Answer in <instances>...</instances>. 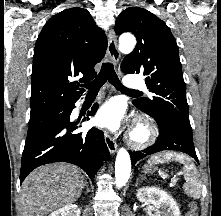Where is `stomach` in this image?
I'll return each instance as SVG.
<instances>
[{
    "label": "stomach",
    "mask_w": 221,
    "mask_h": 216,
    "mask_svg": "<svg viewBox=\"0 0 221 216\" xmlns=\"http://www.w3.org/2000/svg\"><path fill=\"white\" fill-rule=\"evenodd\" d=\"M152 171H153V169L151 166H145V168H144L145 173H152Z\"/></svg>",
    "instance_id": "1"
}]
</instances>
